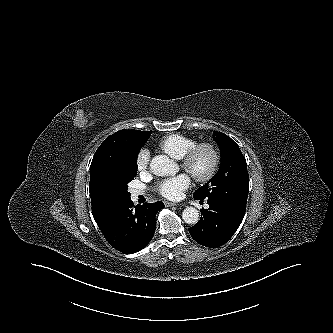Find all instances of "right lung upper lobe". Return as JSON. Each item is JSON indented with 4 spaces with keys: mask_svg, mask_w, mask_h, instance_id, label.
Returning <instances> with one entry per match:
<instances>
[{
    "mask_svg": "<svg viewBox=\"0 0 333 333\" xmlns=\"http://www.w3.org/2000/svg\"><path fill=\"white\" fill-rule=\"evenodd\" d=\"M152 131L121 130L104 140L90 167L89 193L92 213L99 225L119 201L111 188V173L116 161L133 145L146 142Z\"/></svg>",
    "mask_w": 333,
    "mask_h": 333,
    "instance_id": "1",
    "label": "right lung upper lobe"
}]
</instances>
